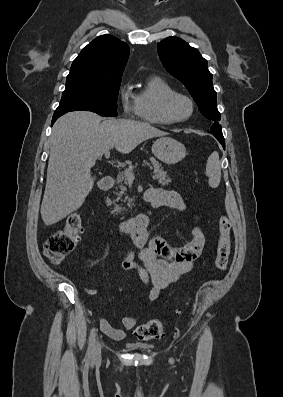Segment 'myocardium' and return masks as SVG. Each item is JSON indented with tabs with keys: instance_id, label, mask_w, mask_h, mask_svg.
Segmentation results:
<instances>
[{
	"instance_id": "obj_1",
	"label": "myocardium",
	"mask_w": 283,
	"mask_h": 397,
	"mask_svg": "<svg viewBox=\"0 0 283 397\" xmlns=\"http://www.w3.org/2000/svg\"><path fill=\"white\" fill-rule=\"evenodd\" d=\"M177 99H182L189 104V107H190L189 113L184 117H176L173 114L172 105H173L174 101ZM161 110H162V115H163L164 119L167 121V123L176 124V123H182V122L189 120L194 113L195 105H194L193 100L188 95H186L184 93H180V92H175V93L168 95L164 99V101L162 103Z\"/></svg>"
}]
</instances>
